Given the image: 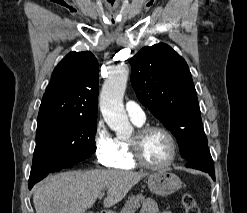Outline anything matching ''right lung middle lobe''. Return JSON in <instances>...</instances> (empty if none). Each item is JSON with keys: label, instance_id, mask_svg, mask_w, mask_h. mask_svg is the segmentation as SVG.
Returning a JSON list of instances; mask_svg holds the SVG:
<instances>
[{"label": "right lung middle lobe", "instance_id": "obj_1", "mask_svg": "<svg viewBox=\"0 0 247 213\" xmlns=\"http://www.w3.org/2000/svg\"><path fill=\"white\" fill-rule=\"evenodd\" d=\"M96 120L45 118L37 120L36 147L29 180L74 165L95 152Z\"/></svg>", "mask_w": 247, "mask_h": 213}]
</instances>
